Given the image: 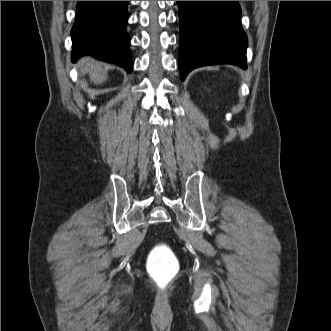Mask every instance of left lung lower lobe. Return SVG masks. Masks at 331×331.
<instances>
[{
  "instance_id": "1",
  "label": "left lung lower lobe",
  "mask_w": 331,
  "mask_h": 331,
  "mask_svg": "<svg viewBox=\"0 0 331 331\" xmlns=\"http://www.w3.org/2000/svg\"><path fill=\"white\" fill-rule=\"evenodd\" d=\"M181 80L193 69L215 64L246 65L247 36L238 1H177Z\"/></svg>"
}]
</instances>
